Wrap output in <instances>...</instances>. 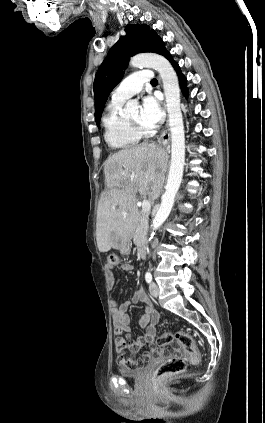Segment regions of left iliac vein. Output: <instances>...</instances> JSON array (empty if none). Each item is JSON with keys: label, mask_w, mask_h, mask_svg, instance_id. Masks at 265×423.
<instances>
[{"label": "left iliac vein", "mask_w": 265, "mask_h": 423, "mask_svg": "<svg viewBox=\"0 0 265 423\" xmlns=\"http://www.w3.org/2000/svg\"><path fill=\"white\" fill-rule=\"evenodd\" d=\"M149 291H150V294L153 297H158V295H159V289H158V286L155 283H151L150 284Z\"/></svg>", "instance_id": "4c4485c4"}]
</instances>
